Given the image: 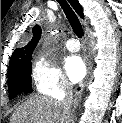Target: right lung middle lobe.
Segmentation results:
<instances>
[{
  "label": "right lung middle lobe",
  "mask_w": 122,
  "mask_h": 123,
  "mask_svg": "<svg viewBox=\"0 0 122 123\" xmlns=\"http://www.w3.org/2000/svg\"><path fill=\"white\" fill-rule=\"evenodd\" d=\"M9 98L12 99L22 92H32L31 59L8 70Z\"/></svg>",
  "instance_id": "1"
}]
</instances>
